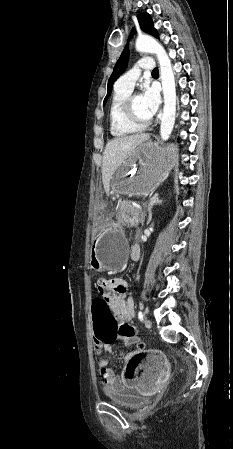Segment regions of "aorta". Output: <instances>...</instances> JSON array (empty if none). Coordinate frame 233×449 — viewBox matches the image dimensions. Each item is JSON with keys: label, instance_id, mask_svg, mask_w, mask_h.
<instances>
[{"label": "aorta", "instance_id": "1", "mask_svg": "<svg viewBox=\"0 0 233 449\" xmlns=\"http://www.w3.org/2000/svg\"><path fill=\"white\" fill-rule=\"evenodd\" d=\"M136 49L139 52L155 54L158 58L164 95V109L160 125V136L162 140H167L173 130L176 114V88L171 61L164 47L152 37H138L136 40Z\"/></svg>", "mask_w": 233, "mask_h": 449}]
</instances>
